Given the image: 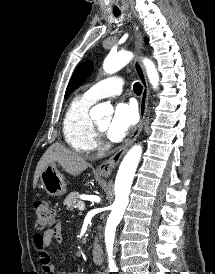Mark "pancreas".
<instances>
[{
	"instance_id": "1",
	"label": "pancreas",
	"mask_w": 215,
	"mask_h": 274,
	"mask_svg": "<svg viewBox=\"0 0 215 274\" xmlns=\"http://www.w3.org/2000/svg\"><path fill=\"white\" fill-rule=\"evenodd\" d=\"M78 202H80L79 193L78 192H72L64 200V205L67 206L68 210H73V208L75 207V205Z\"/></svg>"
}]
</instances>
